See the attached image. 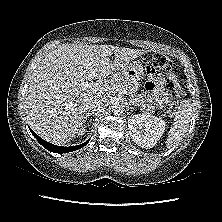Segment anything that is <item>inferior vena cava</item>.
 Listing matches in <instances>:
<instances>
[{
    "mask_svg": "<svg viewBox=\"0 0 222 222\" xmlns=\"http://www.w3.org/2000/svg\"><path fill=\"white\" fill-rule=\"evenodd\" d=\"M108 105V100L105 96H96L89 104V110L92 113L97 114L105 109Z\"/></svg>",
    "mask_w": 222,
    "mask_h": 222,
    "instance_id": "1",
    "label": "inferior vena cava"
}]
</instances>
